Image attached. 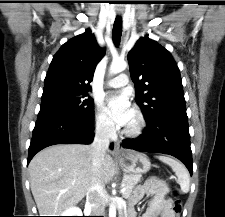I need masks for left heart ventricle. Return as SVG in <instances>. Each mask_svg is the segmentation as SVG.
I'll return each mask as SVG.
<instances>
[{"instance_id": "left-heart-ventricle-1", "label": "left heart ventricle", "mask_w": 225, "mask_h": 217, "mask_svg": "<svg viewBox=\"0 0 225 217\" xmlns=\"http://www.w3.org/2000/svg\"><path fill=\"white\" fill-rule=\"evenodd\" d=\"M132 122H133V115L127 125L131 124Z\"/></svg>"}]
</instances>
